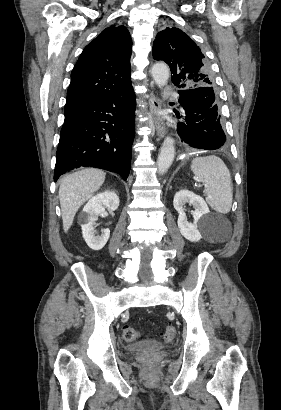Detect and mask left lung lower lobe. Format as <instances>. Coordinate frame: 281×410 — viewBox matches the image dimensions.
I'll use <instances>...</instances> for the list:
<instances>
[{"label":"left lung lower lobe","instance_id":"1","mask_svg":"<svg viewBox=\"0 0 281 410\" xmlns=\"http://www.w3.org/2000/svg\"><path fill=\"white\" fill-rule=\"evenodd\" d=\"M179 103L185 111L183 122L177 125V133L183 143L191 147L215 150L226 142L220 124V115L213 87H197L179 90ZM181 118L178 112L175 113Z\"/></svg>","mask_w":281,"mask_h":410}]
</instances>
